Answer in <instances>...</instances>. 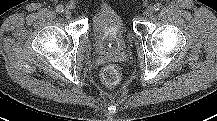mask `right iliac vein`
Here are the masks:
<instances>
[{"label":"right iliac vein","mask_w":217,"mask_h":121,"mask_svg":"<svg viewBox=\"0 0 217 121\" xmlns=\"http://www.w3.org/2000/svg\"><path fill=\"white\" fill-rule=\"evenodd\" d=\"M64 15H65L67 18H70V17L72 16V12H71L69 9H67V10H65Z\"/></svg>","instance_id":"63e3f726"}]
</instances>
